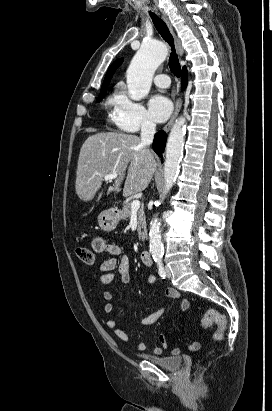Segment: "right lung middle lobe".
<instances>
[{
  "label": "right lung middle lobe",
  "instance_id": "right-lung-middle-lobe-1",
  "mask_svg": "<svg viewBox=\"0 0 272 411\" xmlns=\"http://www.w3.org/2000/svg\"><path fill=\"white\" fill-rule=\"evenodd\" d=\"M106 94V89L104 88L103 90H101L99 97H98V102H100V100L105 96Z\"/></svg>",
  "mask_w": 272,
  "mask_h": 411
}]
</instances>
